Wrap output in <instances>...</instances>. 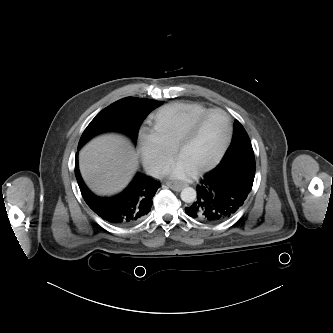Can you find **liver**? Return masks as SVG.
Returning <instances> with one entry per match:
<instances>
[{"label": "liver", "mask_w": 333, "mask_h": 333, "mask_svg": "<svg viewBox=\"0 0 333 333\" xmlns=\"http://www.w3.org/2000/svg\"><path fill=\"white\" fill-rule=\"evenodd\" d=\"M137 166L132 145L119 135L100 136L79 152L81 175L98 195H111L123 189Z\"/></svg>", "instance_id": "6515ba94"}]
</instances>
